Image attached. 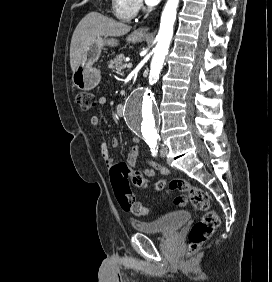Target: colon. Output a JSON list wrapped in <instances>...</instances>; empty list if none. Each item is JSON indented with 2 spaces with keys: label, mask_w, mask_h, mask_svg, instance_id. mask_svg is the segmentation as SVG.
Here are the masks:
<instances>
[{
  "label": "colon",
  "mask_w": 272,
  "mask_h": 282,
  "mask_svg": "<svg viewBox=\"0 0 272 282\" xmlns=\"http://www.w3.org/2000/svg\"><path fill=\"white\" fill-rule=\"evenodd\" d=\"M75 100L83 111H90L96 104V97L87 91L77 92ZM128 177L129 169L122 163L112 168L116 199L123 210L137 216L147 215L148 210L142 203L136 200ZM132 182L138 187H143L147 184L146 180L140 174L133 175ZM168 187L171 190L185 193V195L181 194L175 198V204L177 206H185L187 199H189L197 210L203 212V216L191 226L189 231L188 252L192 254L211 237L218 227L219 218L217 212L211 202L209 194L201 188L191 186L184 178L171 179L168 182Z\"/></svg>",
  "instance_id": "colon-1"
}]
</instances>
